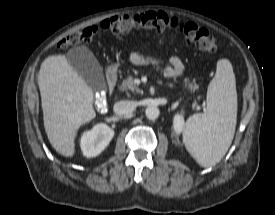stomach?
Returning a JSON list of instances; mask_svg holds the SVG:
<instances>
[{"label": "stomach", "instance_id": "1", "mask_svg": "<svg viewBox=\"0 0 275 215\" xmlns=\"http://www.w3.org/2000/svg\"><path fill=\"white\" fill-rule=\"evenodd\" d=\"M118 66H119L118 64H113V65H111V66L109 67L108 71H109L110 73H114V72H116Z\"/></svg>", "mask_w": 275, "mask_h": 215}]
</instances>
